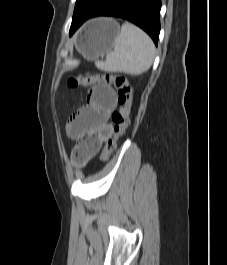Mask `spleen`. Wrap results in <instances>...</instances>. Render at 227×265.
I'll return each instance as SVG.
<instances>
[{
	"label": "spleen",
	"mask_w": 227,
	"mask_h": 265,
	"mask_svg": "<svg viewBox=\"0 0 227 265\" xmlns=\"http://www.w3.org/2000/svg\"><path fill=\"white\" fill-rule=\"evenodd\" d=\"M155 57V45L139 27L124 23L114 40V49L106 54L105 61L97 60L98 69L139 75L147 71Z\"/></svg>",
	"instance_id": "1"
}]
</instances>
